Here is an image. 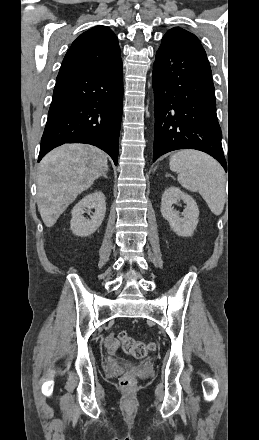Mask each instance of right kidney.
I'll use <instances>...</instances> for the list:
<instances>
[{
    "label": "right kidney",
    "mask_w": 259,
    "mask_h": 440,
    "mask_svg": "<svg viewBox=\"0 0 259 440\" xmlns=\"http://www.w3.org/2000/svg\"><path fill=\"white\" fill-rule=\"evenodd\" d=\"M94 208L95 212L86 219L83 214L85 209ZM106 213V200L101 191L93 192L79 201L72 210L70 228L73 234L87 237L93 234L102 224Z\"/></svg>",
    "instance_id": "right-kidney-1"
}]
</instances>
